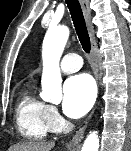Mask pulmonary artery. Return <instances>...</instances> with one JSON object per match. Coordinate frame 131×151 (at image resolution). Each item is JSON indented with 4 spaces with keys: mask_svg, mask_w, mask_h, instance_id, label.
Returning a JSON list of instances; mask_svg holds the SVG:
<instances>
[{
    "mask_svg": "<svg viewBox=\"0 0 131 151\" xmlns=\"http://www.w3.org/2000/svg\"><path fill=\"white\" fill-rule=\"evenodd\" d=\"M61 70L64 73H73L82 66V58L76 53H68L61 60Z\"/></svg>",
    "mask_w": 131,
    "mask_h": 151,
    "instance_id": "1",
    "label": "pulmonary artery"
}]
</instances>
